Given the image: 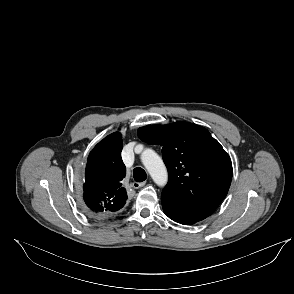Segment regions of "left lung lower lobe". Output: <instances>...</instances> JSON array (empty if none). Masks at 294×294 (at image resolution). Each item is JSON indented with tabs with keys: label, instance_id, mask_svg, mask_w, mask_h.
<instances>
[{
	"label": "left lung lower lobe",
	"instance_id": "1",
	"mask_svg": "<svg viewBox=\"0 0 294 294\" xmlns=\"http://www.w3.org/2000/svg\"><path fill=\"white\" fill-rule=\"evenodd\" d=\"M164 213L173 221L184 224V225H192L195 224L198 221L196 218L190 217L188 215H186L185 213H183L182 211L170 208L164 204H162Z\"/></svg>",
	"mask_w": 294,
	"mask_h": 294
}]
</instances>
